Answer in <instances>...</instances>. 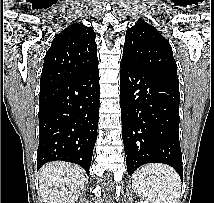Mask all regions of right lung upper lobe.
Segmentation results:
<instances>
[{"instance_id": "right-lung-upper-lobe-1", "label": "right lung upper lobe", "mask_w": 214, "mask_h": 203, "mask_svg": "<svg viewBox=\"0 0 214 203\" xmlns=\"http://www.w3.org/2000/svg\"><path fill=\"white\" fill-rule=\"evenodd\" d=\"M96 34L74 23L55 36L44 58L40 91L79 77L98 67Z\"/></svg>"}]
</instances>
